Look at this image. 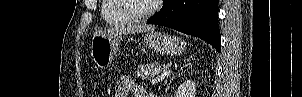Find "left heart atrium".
I'll return each instance as SVG.
<instances>
[{"mask_svg":"<svg viewBox=\"0 0 302 97\" xmlns=\"http://www.w3.org/2000/svg\"><path fill=\"white\" fill-rule=\"evenodd\" d=\"M161 1H162V0H153V2H157V3H158V2H161Z\"/></svg>","mask_w":302,"mask_h":97,"instance_id":"obj_1","label":"left heart atrium"}]
</instances>
